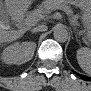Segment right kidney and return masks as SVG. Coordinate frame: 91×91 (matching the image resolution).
Returning <instances> with one entry per match:
<instances>
[{
    "label": "right kidney",
    "mask_w": 91,
    "mask_h": 91,
    "mask_svg": "<svg viewBox=\"0 0 91 91\" xmlns=\"http://www.w3.org/2000/svg\"><path fill=\"white\" fill-rule=\"evenodd\" d=\"M35 48L33 42H16L2 51L1 59L5 64H23L31 59Z\"/></svg>",
    "instance_id": "1"
}]
</instances>
